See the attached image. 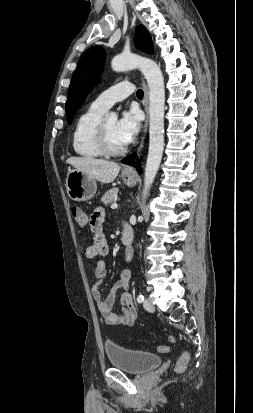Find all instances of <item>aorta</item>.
Here are the masks:
<instances>
[{"instance_id": "1", "label": "aorta", "mask_w": 253, "mask_h": 413, "mask_svg": "<svg viewBox=\"0 0 253 413\" xmlns=\"http://www.w3.org/2000/svg\"><path fill=\"white\" fill-rule=\"evenodd\" d=\"M111 67L116 72L138 68L143 73L149 87V151L145 166L143 198L147 196L159 169L164 150V78L160 67L151 59L136 55H117ZM109 120H116L114 112Z\"/></svg>"}]
</instances>
